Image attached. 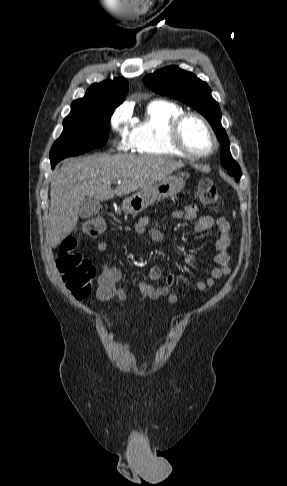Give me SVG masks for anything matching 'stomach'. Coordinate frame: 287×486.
Returning a JSON list of instances; mask_svg holds the SVG:
<instances>
[{
    "label": "stomach",
    "instance_id": "0dacf381",
    "mask_svg": "<svg viewBox=\"0 0 287 486\" xmlns=\"http://www.w3.org/2000/svg\"><path fill=\"white\" fill-rule=\"evenodd\" d=\"M185 186V180L181 176L169 175L151 186L126 197L122 203V210L126 214H136L156 201L163 200L180 192Z\"/></svg>",
    "mask_w": 287,
    "mask_h": 486
}]
</instances>
